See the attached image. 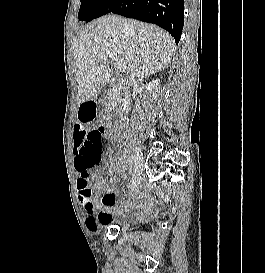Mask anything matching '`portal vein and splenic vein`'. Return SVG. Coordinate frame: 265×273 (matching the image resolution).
<instances>
[{
    "label": "portal vein and splenic vein",
    "mask_w": 265,
    "mask_h": 273,
    "mask_svg": "<svg viewBox=\"0 0 265 273\" xmlns=\"http://www.w3.org/2000/svg\"><path fill=\"white\" fill-rule=\"evenodd\" d=\"M99 57L100 58H105V57L111 58L115 62V65H116L117 69H119V70L126 69V67H127V63L124 59H119L111 53L101 54Z\"/></svg>",
    "instance_id": "18ae733b"
}]
</instances>
